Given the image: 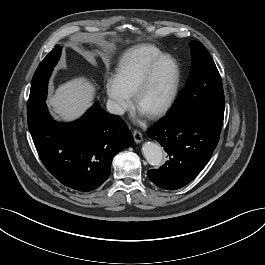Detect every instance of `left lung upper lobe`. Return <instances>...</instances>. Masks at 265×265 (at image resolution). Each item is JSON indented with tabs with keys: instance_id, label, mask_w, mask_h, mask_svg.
Wrapping results in <instances>:
<instances>
[{
	"instance_id": "5c2ea615",
	"label": "left lung upper lobe",
	"mask_w": 265,
	"mask_h": 265,
	"mask_svg": "<svg viewBox=\"0 0 265 265\" xmlns=\"http://www.w3.org/2000/svg\"><path fill=\"white\" fill-rule=\"evenodd\" d=\"M192 65L184 90L166 116L189 114L222 129L225 100L220 74L206 48L189 43Z\"/></svg>"
}]
</instances>
